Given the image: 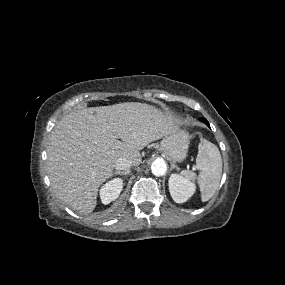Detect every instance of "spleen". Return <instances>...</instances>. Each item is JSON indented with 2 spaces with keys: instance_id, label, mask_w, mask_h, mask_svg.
Here are the masks:
<instances>
[{
  "instance_id": "obj_1",
  "label": "spleen",
  "mask_w": 285,
  "mask_h": 285,
  "mask_svg": "<svg viewBox=\"0 0 285 285\" xmlns=\"http://www.w3.org/2000/svg\"><path fill=\"white\" fill-rule=\"evenodd\" d=\"M196 165L200 169L198 176L194 172L183 170L181 174L188 180L197 179L201 200L208 201L216 192L222 175V158L218 147L208 140L198 146Z\"/></svg>"
}]
</instances>
